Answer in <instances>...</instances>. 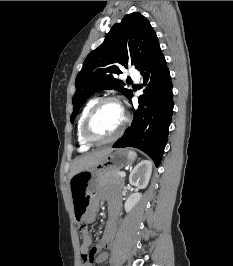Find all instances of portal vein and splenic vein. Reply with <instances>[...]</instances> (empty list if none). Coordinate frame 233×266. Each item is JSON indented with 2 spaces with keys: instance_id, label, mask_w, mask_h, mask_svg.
Wrapping results in <instances>:
<instances>
[{
  "instance_id": "portal-vein-and-splenic-vein-1",
  "label": "portal vein and splenic vein",
  "mask_w": 233,
  "mask_h": 266,
  "mask_svg": "<svg viewBox=\"0 0 233 266\" xmlns=\"http://www.w3.org/2000/svg\"><path fill=\"white\" fill-rule=\"evenodd\" d=\"M119 175H120L121 177H125V176H126V173H125V172H120Z\"/></svg>"
}]
</instances>
